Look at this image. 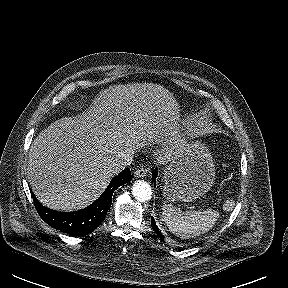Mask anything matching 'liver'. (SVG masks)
<instances>
[{
	"label": "liver",
	"instance_id": "1",
	"mask_svg": "<svg viewBox=\"0 0 288 288\" xmlns=\"http://www.w3.org/2000/svg\"><path fill=\"white\" fill-rule=\"evenodd\" d=\"M180 109L172 93L153 83L111 86L78 117L51 123L34 139L28 180L37 199L57 211L87 207L116 174L110 164L121 153L158 144L160 164L184 144Z\"/></svg>",
	"mask_w": 288,
	"mask_h": 288
}]
</instances>
